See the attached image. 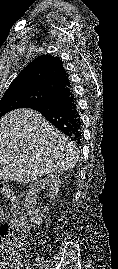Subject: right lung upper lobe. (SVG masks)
<instances>
[{"label": "right lung upper lobe", "mask_w": 118, "mask_h": 269, "mask_svg": "<svg viewBox=\"0 0 118 269\" xmlns=\"http://www.w3.org/2000/svg\"><path fill=\"white\" fill-rule=\"evenodd\" d=\"M68 86L70 81L62 61L47 54L30 62L13 80L4 95H28L31 99L27 102V107Z\"/></svg>", "instance_id": "right-lung-upper-lobe-1"}]
</instances>
